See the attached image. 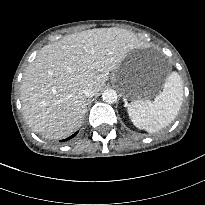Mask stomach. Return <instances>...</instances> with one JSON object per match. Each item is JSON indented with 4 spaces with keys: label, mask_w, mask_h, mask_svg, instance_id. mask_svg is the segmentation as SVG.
Returning <instances> with one entry per match:
<instances>
[{
    "label": "stomach",
    "mask_w": 205,
    "mask_h": 205,
    "mask_svg": "<svg viewBox=\"0 0 205 205\" xmlns=\"http://www.w3.org/2000/svg\"><path fill=\"white\" fill-rule=\"evenodd\" d=\"M112 82L127 99L143 100L153 97L162 87L161 83L145 81L140 64L131 58L125 59L112 73Z\"/></svg>",
    "instance_id": "0dacf381"
}]
</instances>
